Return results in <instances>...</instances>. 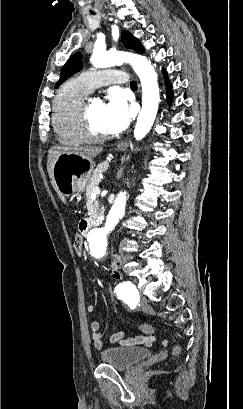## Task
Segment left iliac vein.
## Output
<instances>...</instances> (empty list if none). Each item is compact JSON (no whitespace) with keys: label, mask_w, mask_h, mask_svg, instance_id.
<instances>
[{"label":"left iliac vein","mask_w":243,"mask_h":409,"mask_svg":"<svg viewBox=\"0 0 243 409\" xmlns=\"http://www.w3.org/2000/svg\"><path fill=\"white\" fill-rule=\"evenodd\" d=\"M140 305L142 308L146 307V300L144 298L140 301Z\"/></svg>","instance_id":"4c4485c4"}]
</instances>
